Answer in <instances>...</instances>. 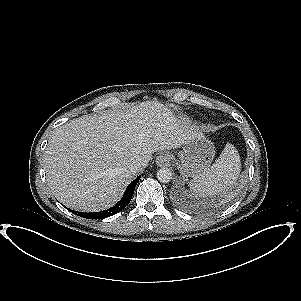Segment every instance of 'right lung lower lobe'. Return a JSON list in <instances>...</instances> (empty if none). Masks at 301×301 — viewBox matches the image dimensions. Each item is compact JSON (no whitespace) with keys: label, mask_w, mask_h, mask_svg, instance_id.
Instances as JSON below:
<instances>
[{"label":"right lung lower lobe","mask_w":301,"mask_h":301,"mask_svg":"<svg viewBox=\"0 0 301 301\" xmlns=\"http://www.w3.org/2000/svg\"><path fill=\"white\" fill-rule=\"evenodd\" d=\"M140 177L141 176H138L134 181H132L129 184L122 199L115 206H113L105 211H102V212L82 213V212H75L72 210H71V212L75 213L81 217L87 218V219H103V218H107V217L117 214L118 212L123 210L128 205L130 200L132 199V196H133V193L135 190V186H136L137 182L139 181Z\"/></svg>","instance_id":"obj_1"}]
</instances>
